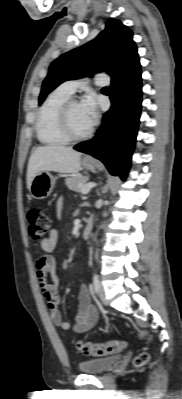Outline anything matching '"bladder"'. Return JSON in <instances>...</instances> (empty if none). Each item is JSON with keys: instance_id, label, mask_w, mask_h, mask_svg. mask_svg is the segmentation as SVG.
Returning <instances> with one entry per match:
<instances>
[{"instance_id": "bladder-1", "label": "bladder", "mask_w": 182, "mask_h": 399, "mask_svg": "<svg viewBox=\"0 0 182 399\" xmlns=\"http://www.w3.org/2000/svg\"><path fill=\"white\" fill-rule=\"evenodd\" d=\"M118 358V356H110L81 361L79 369L85 374H101L107 371Z\"/></svg>"}]
</instances>
